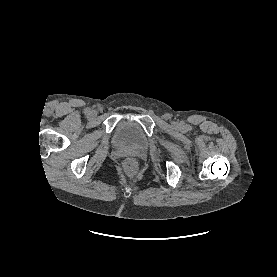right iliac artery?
<instances>
[{"label":"right iliac artery","mask_w":277,"mask_h":277,"mask_svg":"<svg viewBox=\"0 0 277 277\" xmlns=\"http://www.w3.org/2000/svg\"><path fill=\"white\" fill-rule=\"evenodd\" d=\"M84 112H85V114L89 115L91 111H90V109H89V108H87V109H85V111H84Z\"/></svg>","instance_id":"82829eb1"}]
</instances>
